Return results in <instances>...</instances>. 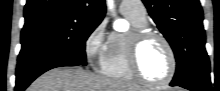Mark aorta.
I'll return each instance as SVG.
<instances>
[{
	"label": "aorta",
	"mask_w": 220,
	"mask_h": 91,
	"mask_svg": "<svg viewBox=\"0 0 220 91\" xmlns=\"http://www.w3.org/2000/svg\"><path fill=\"white\" fill-rule=\"evenodd\" d=\"M107 7L109 10L114 9V0H107ZM114 28L117 30H125L126 26L124 25L123 21L117 20L114 24Z\"/></svg>",
	"instance_id": "1"
}]
</instances>
